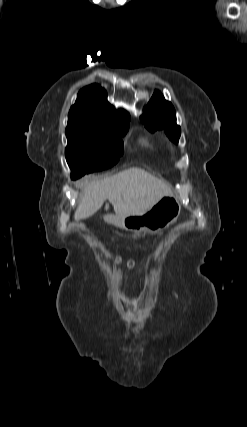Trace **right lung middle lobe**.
Returning <instances> with one entry per match:
<instances>
[{"mask_svg":"<svg viewBox=\"0 0 247 427\" xmlns=\"http://www.w3.org/2000/svg\"><path fill=\"white\" fill-rule=\"evenodd\" d=\"M129 126L103 128L77 121H68L66 160L73 170L71 177L79 178L94 171L112 167L123 154L122 137Z\"/></svg>","mask_w":247,"mask_h":427,"instance_id":"1","label":"right lung middle lobe"}]
</instances>
